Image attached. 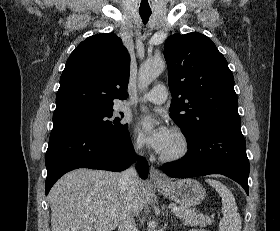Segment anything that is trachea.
<instances>
[{
	"mask_svg": "<svg viewBox=\"0 0 280 231\" xmlns=\"http://www.w3.org/2000/svg\"><path fill=\"white\" fill-rule=\"evenodd\" d=\"M139 14L141 15V18L143 20V23H147L150 15H151V10L146 11V10H139Z\"/></svg>",
	"mask_w": 280,
	"mask_h": 231,
	"instance_id": "1",
	"label": "trachea"
}]
</instances>
